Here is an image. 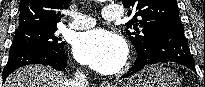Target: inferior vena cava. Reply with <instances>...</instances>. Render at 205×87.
<instances>
[{"mask_svg":"<svg viewBox=\"0 0 205 87\" xmlns=\"http://www.w3.org/2000/svg\"><path fill=\"white\" fill-rule=\"evenodd\" d=\"M88 80L83 72L77 71L74 74V80L67 83V87H87Z\"/></svg>","mask_w":205,"mask_h":87,"instance_id":"inferior-vena-cava-1","label":"inferior vena cava"}]
</instances>
